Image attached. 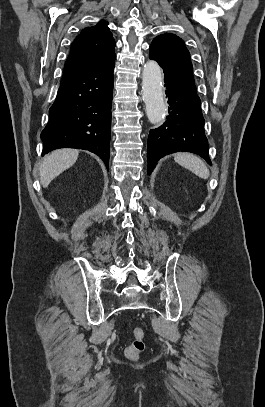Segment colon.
<instances>
[{
  "mask_svg": "<svg viewBox=\"0 0 265 407\" xmlns=\"http://www.w3.org/2000/svg\"><path fill=\"white\" fill-rule=\"evenodd\" d=\"M145 331L142 327H135L132 331V342L125 349V355L129 359H137L145 350Z\"/></svg>",
  "mask_w": 265,
  "mask_h": 407,
  "instance_id": "1",
  "label": "colon"
}]
</instances>
